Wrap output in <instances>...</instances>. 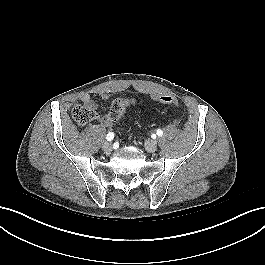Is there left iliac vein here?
I'll return each mask as SVG.
<instances>
[{"label":"left iliac vein","instance_id":"1","mask_svg":"<svg viewBox=\"0 0 265 265\" xmlns=\"http://www.w3.org/2000/svg\"><path fill=\"white\" fill-rule=\"evenodd\" d=\"M145 149L149 153H153L157 150V143L153 140H149L145 142Z\"/></svg>","mask_w":265,"mask_h":265}]
</instances>
